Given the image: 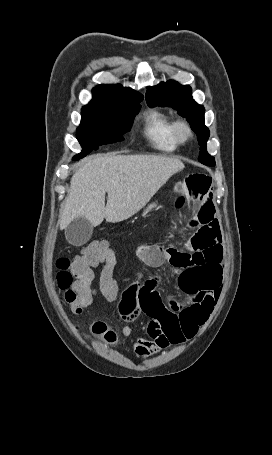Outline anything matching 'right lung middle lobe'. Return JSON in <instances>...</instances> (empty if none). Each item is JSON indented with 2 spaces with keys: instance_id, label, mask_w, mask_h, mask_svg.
Listing matches in <instances>:
<instances>
[{
  "instance_id": "dd1d6c3e",
  "label": "right lung middle lobe",
  "mask_w": 272,
  "mask_h": 455,
  "mask_svg": "<svg viewBox=\"0 0 272 455\" xmlns=\"http://www.w3.org/2000/svg\"><path fill=\"white\" fill-rule=\"evenodd\" d=\"M140 101L109 111L82 109L81 124L76 134L82 152L73 160L83 158L99 145L123 141L122 134L130 131L134 116L140 109Z\"/></svg>"
}]
</instances>
